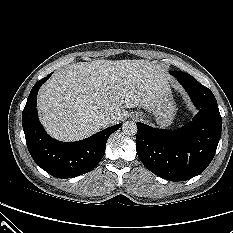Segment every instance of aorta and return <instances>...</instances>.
Returning a JSON list of instances; mask_svg holds the SVG:
<instances>
[{
    "label": "aorta",
    "instance_id": "obj_1",
    "mask_svg": "<svg viewBox=\"0 0 233 233\" xmlns=\"http://www.w3.org/2000/svg\"><path fill=\"white\" fill-rule=\"evenodd\" d=\"M122 131L125 135L133 136L137 133V125L133 121H127L122 125Z\"/></svg>",
    "mask_w": 233,
    "mask_h": 233
}]
</instances>
